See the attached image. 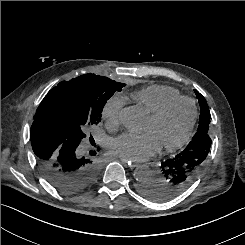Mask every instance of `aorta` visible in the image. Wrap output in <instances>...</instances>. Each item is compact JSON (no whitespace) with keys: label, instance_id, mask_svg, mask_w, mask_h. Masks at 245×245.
<instances>
[{"label":"aorta","instance_id":"obj_1","mask_svg":"<svg viewBox=\"0 0 245 245\" xmlns=\"http://www.w3.org/2000/svg\"><path fill=\"white\" fill-rule=\"evenodd\" d=\"M122 125L131 133L141 131L144 126V114L137 106H129L123 109L120 115ZM137 181L145 183L153 178V171L146 165H141L134 171Z\"/></svg>","mask_w":245,"mask_h":245}]
</instances>
